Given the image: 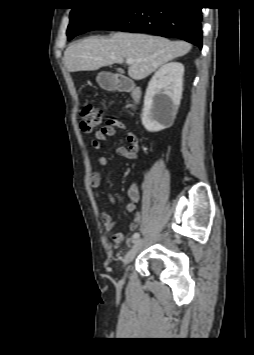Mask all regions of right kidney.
Wrapping results in <instances>:
<instances>
[{
	"instance_id": "1",
	"label": "right kidney",
	"mask_w": 254,
	"mask_h": 355,
	"mask_svg": "<svg viewBox=\"0 0 254 355\" xmlns=\"http://www.w3.org/2000/svg\"><path fill=\"white\" fill-rule=\"evenodd\" d=\"M184 66L179 62L162 65L148 84L141 115L149 132H159L173 124L180 105Z\"/></svg>"
}]
</instances>
